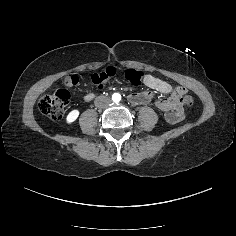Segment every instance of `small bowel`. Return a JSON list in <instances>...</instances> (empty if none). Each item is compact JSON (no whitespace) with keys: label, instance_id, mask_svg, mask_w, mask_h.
Here are the masks:
<instances>
[{"label":"small bowel","instance_id":"c3829d8e","mask_svg":"<svg viewBox=\"0 0 236 236\" xmlns=\"http://www.w3.org/2000/svg\"><path fill=\"white\" fill-rule=\"evenodd\" d=\"M147 85L151 86V87H159L160 85L158 83H156L155 81L153 80H147Z\"/></svg>","mask_w":236,"mask_h":236}]
</instances>
